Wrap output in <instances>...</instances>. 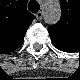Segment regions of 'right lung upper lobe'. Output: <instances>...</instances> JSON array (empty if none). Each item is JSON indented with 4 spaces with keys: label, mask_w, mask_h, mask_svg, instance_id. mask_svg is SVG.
<instances>
[{
    "label": "right lung upper lobe",
    "mask_w": 80,
    "mask_h": 80,
    "mask_svg": "<svg viewBox=\"0 0 80 80\" xmlns=\"http://www.w3.org/2000/svg\"><path fill=\"white\" fill-rule=\"evenodd\" d=\"M33 19L34 15L26 9V2H10L0 14V46L9 50L18 48Z\"/></svg>",
    "instance_id": "cb5924a9"
}]
</instances>
